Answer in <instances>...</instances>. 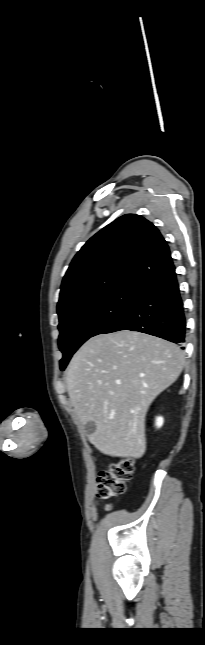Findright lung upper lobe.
Masks as SVG:
<instances>
[{
  "label": "right lung upper lobe",
  "instance_id": "obj_1",
  "mask_svg": "<svg viewBox=\"0 0 205 645\" xmlns=\"http://www.w3.org/2000/svg\"><path fill=\"white\" fill-rule=\"evenodd\" d=\"M172 266L170 249L159 230L142 216L123 215L75 255L62 281L57 311L126 283L142 285Z\"/></svg>",
  "mask_w": 205,
  "mask_h": 645
}]
</instances>
